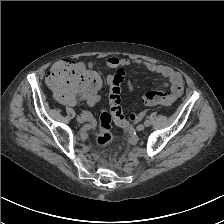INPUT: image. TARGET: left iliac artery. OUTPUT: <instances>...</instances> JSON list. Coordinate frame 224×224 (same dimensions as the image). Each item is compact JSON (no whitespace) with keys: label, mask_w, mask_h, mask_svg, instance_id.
I'll return each mask as SVG.
<instances>
[{"label":"left iliac artery","mask_w":224,"mask_h":224,"mask_svg":"<svg viewBox=\"0 0 224 224\" xmlns=\"http://www.w3.org/2000/svg\"><path fill=\"white\" fill-rule=\"evenodd\" d=\"M144 125H145L146 127H148V126H150V122H149L148 120H146V121H144Z\"/></svg>","instance_id":"left-iliac-artery-1"}]
</instances>
